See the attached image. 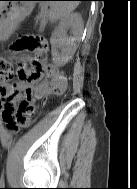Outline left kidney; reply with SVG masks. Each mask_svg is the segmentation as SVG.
Returning <instances> with one entry per match:
<instances>
[{
    "mask_svg": "<svg viewBox=\"0 0 137 189\" xmlns=\"http://www.w3.org/2000/svg\"><path fill=\"white\" fill-rule=\"evenodd\" d=\"M73 8H66L62 13L63 16L59 25L55 28L51 42L53 46H59L61 48V56H57L56 53H52L53 62L57 65L65 64L71 58V52L69 48V40L65 37V28L69 21L79 22L80 17L77 13H72Z\"/></svg>",
    "mask_w": 137,
    "mask_h": 189,
    "instance_id": "obj_1",
    "label": "left kidney"
}]
</instances>
